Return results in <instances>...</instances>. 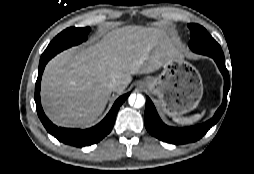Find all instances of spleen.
Returning <instances> with one entry per match:
<instances>
[{"mask_svg":"<svg viewBox=\"0 0 254 174\" xmlns=\"http://www.w3.org/2000/svg\"><path fill=\"white\" fill-rule=\"evenodd\" d=\"M205 112L206 111L203 110L201 114H195L190 117H174L173 120L176 123L183 124V125L193 124L199 121L204 116Z\"/></svg>","mask_w":254,"mask_h":174,"instance_id":"obj_1","label":"spleen"}]
</instances>
